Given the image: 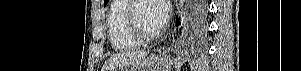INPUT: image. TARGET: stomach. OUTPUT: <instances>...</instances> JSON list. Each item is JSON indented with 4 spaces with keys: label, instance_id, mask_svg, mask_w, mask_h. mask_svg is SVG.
<instances>
[{
    "label": "stomach",
    "instance_id": "obj_1",
    "mask_svg": "<svg viewBox=\"0 0 301 71\" xmlns=\"http://www.w3.org/2000/svg\"><path fill=\"white\" fill-rule=\"evenodd\" d=\"M113 71H170L169 58L164 55H151L143 61Z\"/></svg>",
    "mask_w": 301,
    "mask_h": 71
}]
</instances>
